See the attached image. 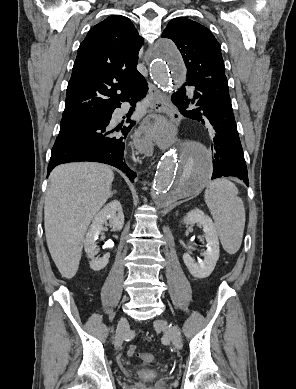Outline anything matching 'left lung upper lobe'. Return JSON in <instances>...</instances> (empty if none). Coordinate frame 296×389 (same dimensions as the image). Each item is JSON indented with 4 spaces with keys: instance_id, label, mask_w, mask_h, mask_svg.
Listing matches in <instances>:
<instances>
[{
    "instance_id": "obj_1",
    "label": "left lung upper lobe",
    "mask_w": 296,
    "mask_h": 389,
    "mask_svg": "<svg viewBox=\"0 0 296 389\" xmlns=\"http://www.w3.org/2000/svg\"><path fill=\"white\" fill-rule=\"evenodd\" d=\"M163 38L173 40L180 50L187 68L185 83L211 78L226 79L221 47L208 28L185 17L172 19Z\"/></svg>"
}]
</instances>
